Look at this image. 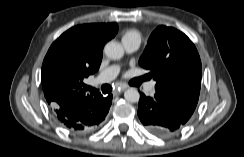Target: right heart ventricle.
Instances as JSON below:
<instances>
[{"label": "right heart ventricle", "instance_id": "right-heart-ventricle-1", "mask_svg": "<svg viewBox=\"0 0 244 157\" xmlns=\"http://www.w3.org/2000/svg\"><path fill=\"white\" fill-rule=\"evenodd\" d=\"M124 40H136L140 43L141 33L136 29H129L122 36V41Z\"/></svg>", "mask_w": 244, "mask_h": 157}]
</instances>
